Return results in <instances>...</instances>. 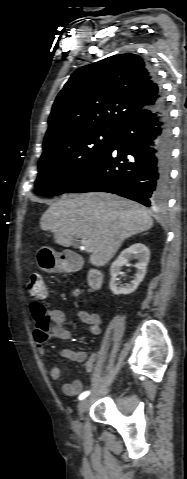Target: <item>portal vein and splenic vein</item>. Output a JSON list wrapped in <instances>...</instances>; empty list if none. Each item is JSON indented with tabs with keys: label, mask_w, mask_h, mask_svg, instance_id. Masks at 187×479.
<instances>
[{
	"label": "portal vein and splenic vein",
	"mask_w": 187,
	"mask_h": 479,
	"mask_svg": "<svg viewBox=\"0 0 187 479\" xmlns=\"http://www.w3.org/2000/svg\"><path fill=\"white\" fill-rule=\"evenodd\" d=\"M81 245L82 247L87 251V252H91L92 251V247H91V244L88 240H85V239H82L81 240Z\"/></svg>",
	"instance_id": "18ae733b"
}]
</instances>
